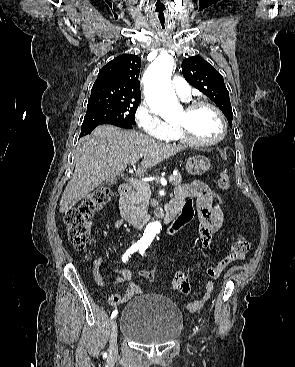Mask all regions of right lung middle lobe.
Here are the masks:
<instances>
[{"instance_id":"dd1d6c3e","label":"right lung middle lobe","mask_w":295,"mask_h":367,"mask_svg":"<svg viewBox=\"0 0 295 367\" xmlns=\"http://www.w3.org/2000/svg\"><path fill=\"white\" fill-rule=\"evenodd\" d=\"M140 99L91 93L81 133L101 124H135V113Z\"/></svg>"}]
</instances>
